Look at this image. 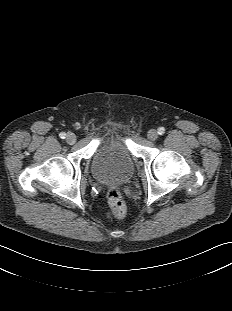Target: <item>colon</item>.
<instances>
[{
  "instance_id": "obj_1",
  "label": "colon",
  "mask_w": 232,
  "mask_h": 311,
  "mask_svg": "<svg viewBox=\"0 0 232 311\" xmlns=\"http://www.w3.org/2000/svg\"><path fill=\"white\" fill-rule=\"evenodd\" d=\"M107 200L109 204V215L111 217H122L126 212L125 202L121 192L116 187H111L107 192Z\"/></svg>"
}]
</instances>
